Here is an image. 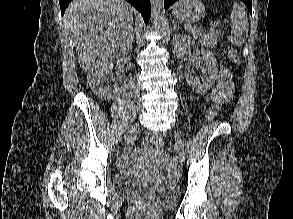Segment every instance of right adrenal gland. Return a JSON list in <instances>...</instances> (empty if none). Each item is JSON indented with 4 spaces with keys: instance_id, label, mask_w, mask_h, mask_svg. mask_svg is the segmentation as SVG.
Returning a JSON list of instances; mask_svg holds the SVG:
<instances>
[{
    "instance_id": "obj_1",
    "label": "right adrenal gland",
    "mask_w": 293,
    "mask_h": 219,
    "mask_svg": "<svg viewBox=\"0 0 293 219\" xmlns=\"http://www.w3.org/2000/svg\"><path fill=\"white\" fill-rule=\"evenodd\" d=\"M134 29H133V27H132V31H133ZM134 41V33H133V36H132V42Z\"/></svg>"
}]
</instances>
